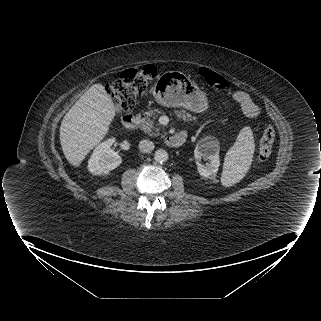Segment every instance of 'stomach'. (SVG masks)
Listing matches in <instances>:
<instances>
[{
  "label": "stomach",
  "instance_id": "0dacf381",
  "mask_svg": "<svg viewBox=\"0 0 321 321\" xmlns=\"http://www.w3.org/2000/svg\"><path fill=\"white\" fill-rule=\"evenodd\" d=\"M155 101L166 107H183L195 113L208 109L206 94L179 71L163 73L153 88Z\"/></svg>",
  "mask_w": 321,
  "mask_h": 321
}]
</instances>
